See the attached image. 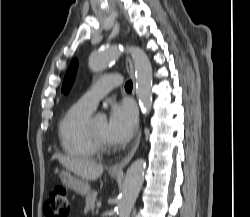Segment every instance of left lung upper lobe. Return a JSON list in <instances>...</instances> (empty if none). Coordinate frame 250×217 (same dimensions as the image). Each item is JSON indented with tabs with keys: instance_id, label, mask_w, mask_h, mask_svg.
I'll return each instance as SVG.
<instances>
[{
	"instance_id": "left-lung-upper-lobe-1",
	"label": "left lung upper lobe",
	"mask_w": 250,
	"mask_h": 217,
	"mask_svg": "<svg viewBox=\"0 0 250 217\" xmlns=\"http://www.w3.org/2000/svg\"><path fill=\"white\" fill-rule=\"evenodd\" d=\"M77 65H78L77 59H74L71 62L70 66L67 70V73L65 75L63 85H62V92L65 94H67L71 89V86H72L73 81H74Z\"/></svg>"
}]
</instances>
